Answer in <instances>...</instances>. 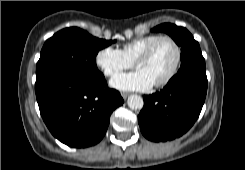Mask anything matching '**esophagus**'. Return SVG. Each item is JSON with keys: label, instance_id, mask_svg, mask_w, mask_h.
Here are the masks:
<instances>
[{"label": "esophagus", "instance_id": "esophagus-1", "mask_svg": "<svg viewBox=\"0 0 245 170\" xmlns=\"http://www.w3.org/2000/svg\"><path fill=\"white\" fill-rule=\"evenodd\" d=\"M128 93H121V96L123 97V99H126L128 97Z\"/></svg>", "mask_w": 245, "mask_h": 170}]
</instances>
